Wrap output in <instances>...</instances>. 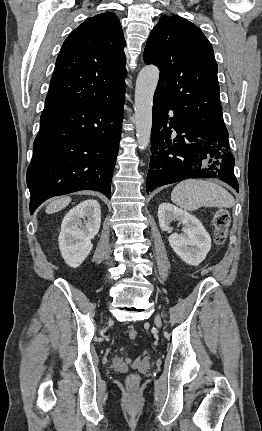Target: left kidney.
<instances>
[{
    "instance_id": "left-kidney-1",
    "label": "left kidney",
    "mask_w": 262,
    "mask_h": 431,
    "mask_svg": "<svg viewBox=\"0 0 262 431\" xmlns=\"http://www.w3.org/2000/svg\"><path fill=\"white\" fill-rule=\"evenodd\" d=\"M158 219L163 231L170 230L172 221L183 225V234L173 233L168 241L174 252L187 264L198 266L211 248V238L201 222L188 212L170 204L162 203L158 208Z\"/></svg>"
}]
</instances>
